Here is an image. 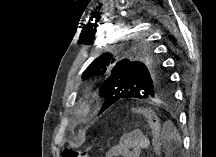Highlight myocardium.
Instances as JSON below:
<instances>
[{
	"mask_svg": "<svg viewBox=\"0 0 216 157\" xmlns=\"http://www.w3.org/2000/svg\"><path fill=\"white\" fill-rule=\"evenodd\" d=\"M94 107L92 101H88L85 103V105L82 107V109L78 113V117L81 121H86L91 114L93 113Z\"/></svg>",
	"mask_w": 216,
	"mask_h": 157,
	"instance_id": "obj_1",
	"label": "myocardium"
}]
</instances>
